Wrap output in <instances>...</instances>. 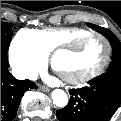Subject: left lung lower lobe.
I'll use <instances>...</instances> for the list:
<instances>
[{
  "label": "left lung lower lobe",
  "mask_w": 121,
  "mask_h": 121,
  "mask_svg": "<svg viewBox=\"0 0 121 121\" xmlns=\"http://www.w3.org/2000/svg\"><path fill=\"white\" fill-rule=\"evenodd\" d=\"M69 93L68 105L56 112L60 121H109L121 103V74L107 72Z\"/></svg>",
  "instance_id": "obj_1"
}]
</instances>
